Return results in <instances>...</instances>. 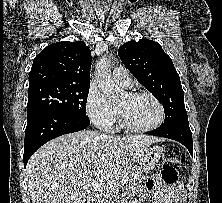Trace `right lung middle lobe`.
Wrapping results in <instances>:
<instances>
[{
	"label": "right lung middle lobe",
	"instance_id": "dd1d6c3e",
	"mask_svg": "<svg viewBox=\"0 0 222 203\" xmlns=\"http://www.w3.org/2000/svg\"><path fill=\"white\" fill-rule=\"evenodd\" d=\"M90 85H57L28 90L27 117L56 112L86 116Z\"/></svg>",
	"mask_w": 222,
	"mask_h": 203
}]
</instances>
